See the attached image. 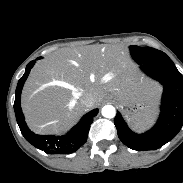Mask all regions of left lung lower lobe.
I'll list each match as a JSON object with an SVG mask.
<instances>
[{
	"instance_id": "1",
	"label": "left lung lower lobe",
	"mask_w": 183,
	"mask_h": 183,
	"mask_svg": "<svg viewBox=\"0 0 183 183\" xmlns=\"http://www.w3.org/2000/svg\"><path fill=\"white\" fill-rule=\"evenodd\" d=\"M140 69L163 85L160 116L152 129L132 132L117 112L114 124L120 140L137 151L156 150L172 140L183 125V76L171 59L139 64Z\"/></svg>"
}]
</instances>
